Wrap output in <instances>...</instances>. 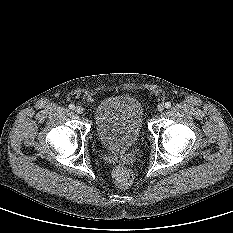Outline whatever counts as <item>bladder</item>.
<instances>
[{"instance_id":"bladder-1","label":"bladder","mask_w":233,"mask_h":233,"mask_svg":"<svg viewBox=\"0 0 233 233\" xmlns=\"http://www.w3.org/2000/svg\"><path fill=\"white\" fill-rule=\"evenodd\" d=\"M94 128L103 147L113 152L126 151L142 135L143 106L131 95L106 97L95 108Z\"/></svg>"}]
</instances>
